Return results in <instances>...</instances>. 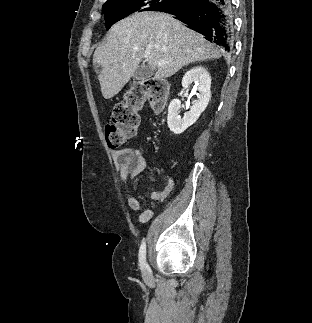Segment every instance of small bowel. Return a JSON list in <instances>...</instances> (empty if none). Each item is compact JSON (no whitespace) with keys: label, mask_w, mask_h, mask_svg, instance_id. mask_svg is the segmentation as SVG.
<instances>
[{"label":"small bowel","mask_w":312,"mask_h":323,"mask_svg":"<svg viewBox=\"0 0 312 323\" xmlns=\"http://www.w3.org/2000/svg\"><path fill=\"white\" fill-rule=\"evenodd\" d=\"M112 158L120 178L125 184L129 180L135 179L141 172L149 169L145 159L139 153L130 149L113 150ZM173 188L174 181L169 177L162 189L150 194L147 205H144L133 195H129L127 198L129 208L132 211L140 212L139 215L135 216V219L140 223L148 222L153 217L155 206L165 200Z\"/></svg>","instance_id":"c3829d8e"}]
</instances>
